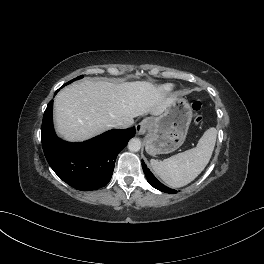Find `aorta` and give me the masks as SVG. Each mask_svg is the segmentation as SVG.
<instances>
[{"instance_id":"aorta-1","label":"aorta","mask_w":264,"mask_h":264,"mask_svg":"<svg viewBox=\"0 0 264 264\" xmlns=\"http://www.w3.org/2000/svg\"><path fill=\"white\" fill-rule=\"evenodd\" d=\"M141 148V141L138 138H132L128 143V149L131 152H137Z\"/></svg>"}]
</instances>
